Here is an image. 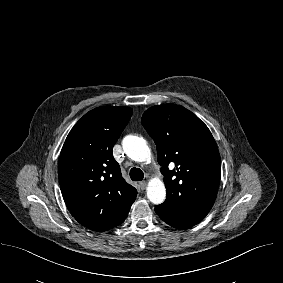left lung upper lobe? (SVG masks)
Returning a JSON list of instances; mask_svg holds the SVG:
<instances>
[{
	"label": "left lung upper lobe",
	"mask_w": 283,
	"mask_h": 283,
	"mask_svg": "<svg viewBox=\"0 0 283 283\" xmlns=\"http://www.w3.org/2000/svg\"><path fill=\"white\" fill-rule=\"evenodd\" d=\"M142 125L154 140L167 197L155 210L164 218L197 224L212 208L219 186L221 161L207 126L176 104L146 110ZM174 165L173 170L168 166Z\"/></svg>",
	"instance_id": "5c2ea615"
}]
</instances>
